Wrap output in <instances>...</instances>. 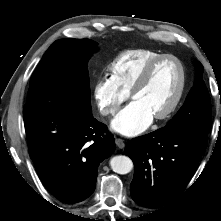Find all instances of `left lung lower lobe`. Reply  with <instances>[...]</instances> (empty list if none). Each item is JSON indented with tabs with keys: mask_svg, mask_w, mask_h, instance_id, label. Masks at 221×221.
<instances>
[{
	"mask_svg": "<svg viewBox=\"0 0 221 221\" xmlns=\"http://www.w3.org/2000/svg\"><path fill=\"white\" fill-rule=\"evenodd\" d=\"M208 134L161 128L129 141L126 150L135 168L133 200L144 207H161L182 194L205 152Z\"/></svg>",
	"mask_w": 221,
	"mask_h": 221,
	"instance_id": "0a47b994",
	"label": "left lung lower lobe"
}]
</instances>
